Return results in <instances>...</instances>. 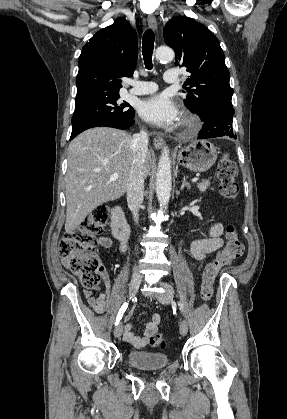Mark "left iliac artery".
<instances>
[{
  "label": "left iliac artery",
  "instance_id": "1",
  "mask_svg": "<svg viewBox=\"0 0 287 419\" xmlns=\"http://www.w3.org/2000/svg\"><path fill=\"white\" fill-rule=\"evenodd\" d=\"M179 306H180V309H182V304L181 303H179Z\"/></svg>",
  "mask_w": 287,
  "mask_h": 419
}]
</instances>
